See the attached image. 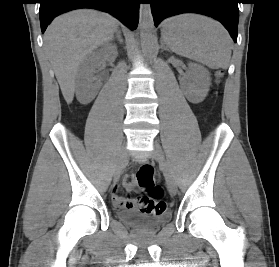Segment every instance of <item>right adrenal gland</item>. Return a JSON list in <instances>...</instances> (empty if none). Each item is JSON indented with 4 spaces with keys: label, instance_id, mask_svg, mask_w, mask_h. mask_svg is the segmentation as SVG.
<instances>
[{
    "label": "right adrenal gland",
    "instance_id": "obj_1",
    "mask_svg": "<svg viewBox=\"0 0 279 267\" xmlns=\"http://www.w3.org/2000/svg\"><path fill=\"white\" fill-rule=\"evenodd\" d=\"M115 38L119 41L120 44L123 43V40H122V38H121V31H120V30H117V31H116V36H115ZM115 38L113 37V39H115Z\"/></svg>",
    "mask_w": 279,
    "mask_h": 267
}]
</instances>
